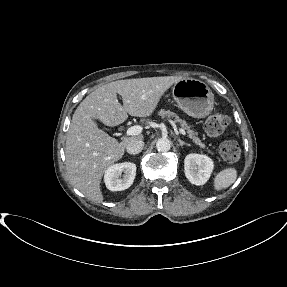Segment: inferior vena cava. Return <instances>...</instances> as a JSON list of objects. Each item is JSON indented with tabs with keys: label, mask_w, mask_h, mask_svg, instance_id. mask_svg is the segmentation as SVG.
<instances>
[{
	"label": "inferior vena cava",
	"mask_w": 287,
	"mask_h": 287,
	"mask_svg": "<svg viewBox=\"0 0 287 287\" xmlns=\"http://www.w3.org/2000/svg\"><path fill=\"white\" fill-rule=\"evenodd\" d=\"M144 148V142L141 139H133L131 140L127 147L126 150L129 154H138L140 153Z\"/></svg>",
	"instance_id": "obj_1"
}]
</instances>
